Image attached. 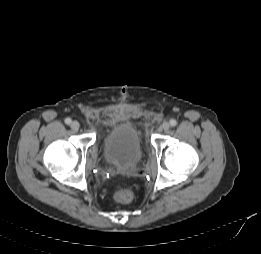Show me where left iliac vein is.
Masks as SVG:
<instances>
[{
  "label": "left iliac vein",
  "instance_id": "left-iliac-vein-1",
  "mask_svg": "<svg viewBox=\"0 0 261 254\" xmlns=\"http://www.w3.org/2000/svg\"><path fill=\"white\" fill-rule=\"evenodd\" d=\"M169 128H170L169 122L164 121V122L162 123V125H161V129L164 130V131H167V130H169Z\"/></svg>",
  "mask_w": 261,
  "mask_h": 254
}]
</instances>
